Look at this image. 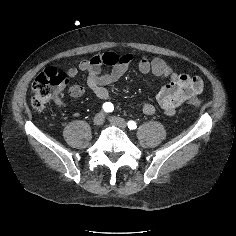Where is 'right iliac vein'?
I'll return each mask as SVG.
<instances>
[{"instance_id":"63e3f726","label":"right iliac vein","mask_w":236,"mask_h":236,"mask_svg":"<svg viewBox=\"0 0 236 236\" xmlns=\"http://www.w3.org/2000/svg\"><path fill=\"white\" fill-rule=\"evenodd\" d=\"M104 119H105L104 113L100 112V113L95 115V117L93 119V123L96 126H101L104 123Z\"/></svg>"}]
</instances>
